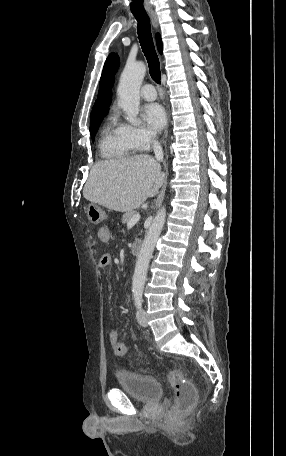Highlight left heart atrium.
<instances>
[{
	"mask_svg": "<svg viewBox=\"0 0 286 456\" xmlns=\"http://www.w3.org/2000/svg\"><path fill=\"white\" fill-rule=\"evenodd\" d=\"M143 118L153 131L161 130L166 122V115L163 108L156 103L148 104L144 107Z\"/></svg>",
	"mask_w": 286,
	"mask_h": 456,
	"instance_id": "1",
	"label": "left heart atrium"
}]
</instances>
